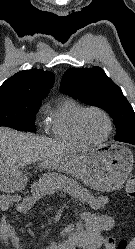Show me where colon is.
I'll return each mask as SVG.
<instances>
[{
  "label": "colon",
  "mask_w": 135,
  "mask_h": 249,
  "mask_svg": "<svg viewBox=\"0 0 135 249\" xmlns=\"http://www.w3.org/2000/svg\"><path fill=\"white\" fill-rule=\"evenodd\" d=\"M125 192L129 199H135V174L132 175L125 185ZM128 246V239H122L118 243V249H126Z\"/></svg>",
  "instance_id": "obj_1"
}]
</instances>
